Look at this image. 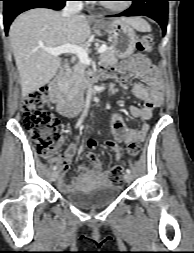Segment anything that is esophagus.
I'll use <instances>...</instances> for the list:
<instances>
[{
    "instance_id": "obj_1",
    "label": "esophagus",
    "mask_w": 194,
    "mask_h": 253,
    "mask_svg": "<svg viewBox=\"0 0 194 253\" xmlns=\"http://www.w3.org/2000/svg\"><path fill=\"white\" fill-rule=\"evenodd\" d=\"M89 18H90V19H96L97 17H96L95 15H93V14H90V15H89Z\"/></svg>"
}]
</instances>
